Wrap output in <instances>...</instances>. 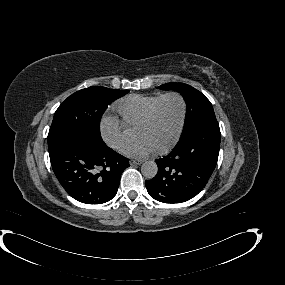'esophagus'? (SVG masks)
<instances>
[{
  "mask_svg": "<svg viewBox=\"0 0 285 285\" xmlns=\"http://www.w3.org/2000/svg\"><path fill=\"white\" fill-rule=\"evenodd\" d=\"M142 163H143L142 160H130V165L131 166L140 165Z\"/></svg>",
  "mask_w": 285,
  "mask_h": 285,
  "instance_id": "esophagus-1",
  "label": "esophagus"
}]
</instances>
